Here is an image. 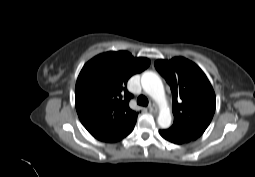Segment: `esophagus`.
<instances>
[{"mask_svg": "<svg viewBox=\"0 0 255 177\" xmlns=\"http://www.w3.org/2000/svg\"><path fill=\"white\" fill-rule=\"evenodd\" d=\"M149 110H150L151 112H154V113H156V112L158 111L157 106H156L154 103H151V104L149 105Z\"/></svg>", "mask_w": 255, "mask_h": 177, "instance_id": "esophagus-1", "label": "esophagus"}]
</instances>
